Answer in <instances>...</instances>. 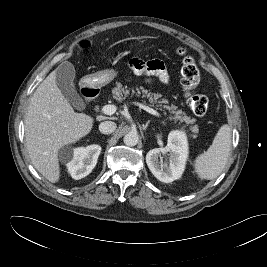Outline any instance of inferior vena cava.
Wrapping results in <instances>:
<instances>
[{"label": "inferior vena cava", "mask_w": 267, "mask_h": 267, "mask_svg": "<svg viewBox=\"0 0 267 267\" xmlns=\"http://www.w3.org/2000/svg\"><path fill=\"white\" fill-rule=\"evenodd\" d=\"M116 123L112 121H104L99 125V131L103 134H111L116 129Z\"/></svg>", "instance_id": "obj_1"}]
</instances>
